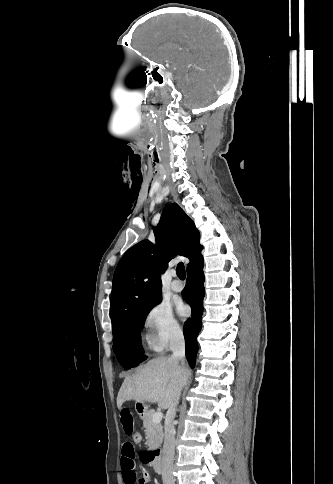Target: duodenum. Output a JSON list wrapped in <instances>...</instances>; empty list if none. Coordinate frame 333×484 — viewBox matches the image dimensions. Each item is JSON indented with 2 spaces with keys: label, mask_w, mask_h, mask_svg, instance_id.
Listing matches in <instances>:
<instances>
[{
  "label": "duodenum",
  "mask_w": 333,
  "mask_h": 484,
  "mask_svg": "<svg viewBox=\"0 0 333 484\" xmlns=\"http://www.w3.org/2000/svg\"><path fill=\"white\" fill-rule=\"evenodd\" d=\"M153 468L156 473L161 474L163 472V465L161 460L160 450H154L151 454Z\"/></svg>",
  "instance_id": "obj_1"
}]
</instances>
